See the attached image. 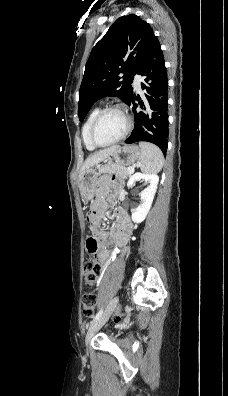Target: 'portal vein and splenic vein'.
Wrapping results in <instances>:
<instances>
[{"mask_svg":"<svg viewBox=\"0 0 228 396\" xmlns=\"http://www.w3.org/2000/svg\"><path fill=\"white\" fill-rule=\"evenodd\" d=\"M129 172H134V169L132 167L129 168Z\"/></svg>","mask_w":228,"mask_h":396,"instance_id":"1","label":"portal vein and splenic vein"}]
</instances>
